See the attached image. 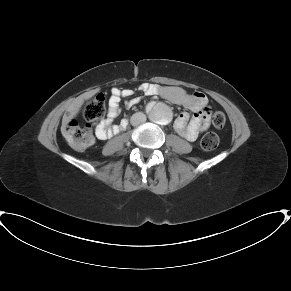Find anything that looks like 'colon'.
I'll return each instance as SVG.
<instances>
[{
	"label": "colon",
	"mask_w": 291,
	"mask_h": 291,
	"mask_svg": "<svg viewBox=\"0 0 291 291\" xmlns=\"http://www.w3.org/2000/svg\"><path fill=\"white\" fill-rule=\"evenodd\" d=\"M105 114V96L97 94L90 98L84 105V124L72 119L62 125L61 131L69 145L76 150H84L94 141L92 123L102 122ZM214 126L221 128L225 124V116L222 112H215L212 116ZM219 145V137L214 133H208L201 139V147L205 151H213Z\"/></svg>",
	"instance_id": "colon-1"
}]
</instances>
